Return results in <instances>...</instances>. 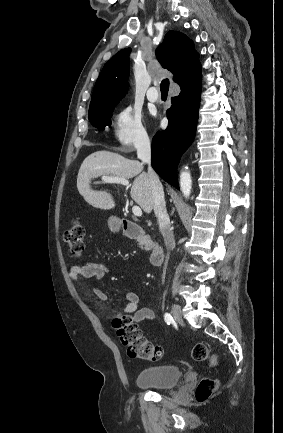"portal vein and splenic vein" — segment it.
Here are the masks:
<instances>
[{
	"mask_svg": "<svg viewBox=\"0 0 283 433\" xmlns=\"http://www.w3.org/2000/svg\"><path fill=\"white\" fill-rule=\"evenodd\" d=\"M101 178L104 182H118V184H125V186L129 184L127 178H119V176H101ZM132 212L136 214V217H141L142 210L139 206H132Z\"/></svg>",
	"mask_w": 283,
	"mask_h": 433,
	"instance_id": "portal-vein-and-splenic-vein-1",
	"label": "portal vein and splenic vein"
}]
</instances>
